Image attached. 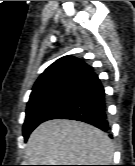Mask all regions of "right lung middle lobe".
<instances>
[{
  "label": "right lung middle lobe",
  "mask_w": 135,
  "mask_h": 166,
  "mask_svg": "<svg viewBox=\"0 0 135 166\" xmlns=\"http://www.w3.org/2000/svg\"><path fill=\"white\" fill-rule=\"evenodd\" d=\"M72 95L68 86L58 88L32 102H28L23 135L27 140L29 134L42 122L55 119L64 112Z\"/></svg>",
  "instance_id": "1"
}]
</instances>
